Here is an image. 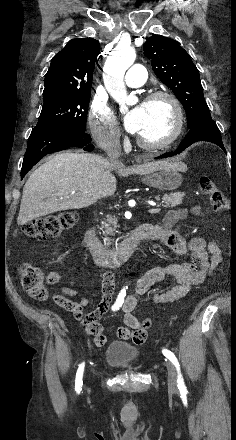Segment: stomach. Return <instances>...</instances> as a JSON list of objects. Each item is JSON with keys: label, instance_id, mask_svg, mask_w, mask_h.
<instances>
[{"label": "stomach", "instance_id": "0dacf381", "mask_svg": "<svg viewBox=\"0 0 236 440\" xmlns=\"http://www.w3.org/2000/svg\"><path fill=\"white\" fill-rule=\"evenodd\" d=\"M186 170L184 164L168 166L146 174L142 182L160 190H175L183 181L181 172Z\"/></svg>", "mask_w": 236, "mask_h": 440}]
</instances>
